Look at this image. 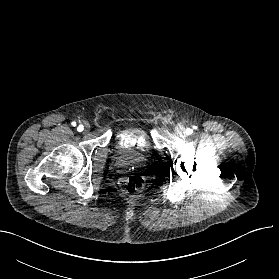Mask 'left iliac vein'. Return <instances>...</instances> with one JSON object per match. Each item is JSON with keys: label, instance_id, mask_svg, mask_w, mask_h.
I'll use <instances>...</instances> for the list:
<instances>
[{"label": "left iliac vein", "instance_id": "4c4485c4", "mask_svg": "<svg viewBox=\"0 0 279 279\" xmlns=\"http://www.w3.org/2000/svg\"><path fill=\"white\" fill-rule=\"evenodd\" d=\"M175 133L179 137L185 136V128L182 125H177L175 128Z\"/></svg>", "mask_w": 279, "mask_h": 279}]
</instances>
